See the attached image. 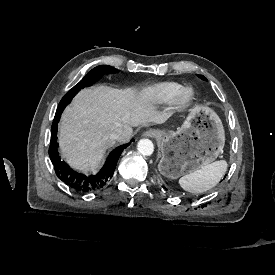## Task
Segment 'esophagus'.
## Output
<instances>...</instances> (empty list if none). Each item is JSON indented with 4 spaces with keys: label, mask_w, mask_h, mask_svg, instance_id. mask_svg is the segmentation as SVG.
Wrapping results in <instances>:
<instances>
[{
    "label": "esophagus",
    "mask_w": 275,
    "mask_h": 275,
    "mask_svg": "<svg viewBox=\"0 0 275 275\" xmlns=\"http://www.w3.org/2000/svg\"><path fill=\"white\" fill-rule=\"evenodd\" d=\"M143 136L156 138L159 136V132H158V130L150 129V130L145 131Z\"/></svg>",
    "instance_id": "esophagus-1"
}]
</instances>
